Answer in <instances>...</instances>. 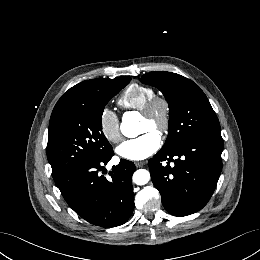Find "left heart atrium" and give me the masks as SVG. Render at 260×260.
<instances>
[{
    "instance_id": "39dd6f15",
    "label": "left heart atrium",
    "mask_w": 260,
    "mask_h": 260,
    "mask_svg": "<svg viewBox=\"0 0 260 260\" xmlns=\"http://www.w3.org/2000/svg\"><path fill=\"white\" fill-rule=\"evenodd\" d=\"M161 145L159 134L154 130H147L141 136L121 143L117 148L120 157L140 161L154 154Z\"/></svg>"
}]
</instances>
